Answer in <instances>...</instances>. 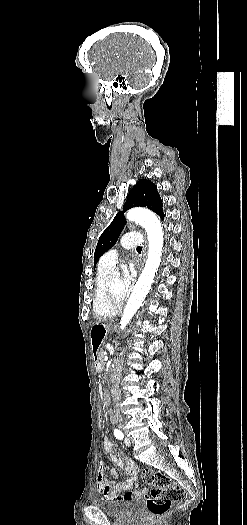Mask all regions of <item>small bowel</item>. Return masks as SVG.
<instances>
[{
    "label": "small bowel",
    "instance_id": "obj_1",
    "mask_svg": "<svg viewBox=\"0 0 247 525\" xmlns=\"http://www.w3.org/2000/svg\"><path fill=\"white\" fill-rule=\"evenodd\" d=\"M102 442H103L104 449L107 452L111 461L128 476L126 480L122 481L118 485L119 492L120 491L124 492L123 496L117 495L115 497L106 498V499L112 500V501H119L122 498L125 500H131L133 498H137L141 496L145 492V489L142 490L141 492L132 491L134 479L136 478L139 472V468L137 464L134 461H132L129 457L125 456L124 454L120 452H117L116 449L114 448L113 442L108 436H104ZM110 473L112 476L114 477L116 476V473L114 470H111ZM96 479H97V483L99 484L98 488L100 490V494L102 496H105L107 494V491L113 490L115 488V485L110 480H107V481L105 480L101 465L99 466V470L97 472Z\"/></svg>",
    "mask_w": 247,
    "mask_h": 525
}]
</instances>
